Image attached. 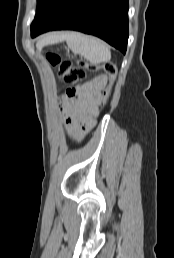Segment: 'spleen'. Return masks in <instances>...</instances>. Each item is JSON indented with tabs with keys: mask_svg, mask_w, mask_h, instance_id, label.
I'll list each match as a JSON object with an SVG mask.
<instances>
[{
	"mask_svg": "<svg viewBox=\"0 0 174 258\" xmlns=\"http://www.w3.org/2000/svg\"><path fill=\"white\" fill-rule=\"evenodd\" d=\"M55 38L54 36L49 39ZM68 47L75 53L84 56L91 63L107 62L111 58L109 47L100 39L70 32L64 35Z\"/></svg>",
	"mask_w": 174,
	"mask_h": 258,
	"instance_id": "3e777b00",
	"label": "spleen"
}]
</instances>
